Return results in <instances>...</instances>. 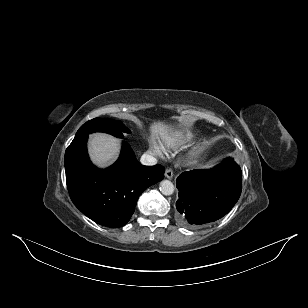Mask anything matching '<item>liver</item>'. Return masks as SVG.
Returning <instances> with one entry per match:
<instances>
[{"instance_id":"1","label":"liver","mask_w":308,"mask_h":308,"mask_svg":"<svg viewBox=\"0 0 308 308\" xmlns=\"http://www.w3.org/2000/svg\"><path fill=\"white\" fill-rule=\"evenodd\" d=\"M152 139L161 138L168 142L178 140L180 134L174 132L162 122H155L150 126ZM119 141L117 138L104 134L94 133L89 139L90 158L96 165L106 167L112 164L119 154Z\"/></svg>"}]
</instances>
